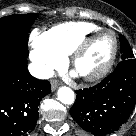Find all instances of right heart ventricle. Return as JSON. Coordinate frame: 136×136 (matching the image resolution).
Returning <instances> with one entry per match:
<instances>
[{"instance_id":"right-heart-ventricle-1","label":"right heart ventricle","mask_w":136,"mask_h":136,"mask_svg":"<svg viewBox=\"0 0 136 136\" xmlns=\"http://www.w3.org/2000/svg\"><path fill=\"white\" fill-rule=\"evenodd\" d=\"M100 29V26L90 22H66L43 34L47 43L65 57L70 55L85 37Z\"/></svg>"}]
</instances>
